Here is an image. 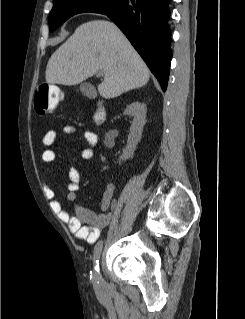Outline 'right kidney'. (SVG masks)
Returning a JSON list of instances; mask_svg holds the SVG:
<instances>
[{
    "mask_svg": "<svg viewBox=\"0 0 245 319\" xmlns=\"http://www.w3.org/2000/svg\"><path fill=\"white\" fill-rule=\"evenodd\" d=\"M146 104L139 101H135L127 106L124 111L125 115L133 116V122L130 126V133L128 136V141L126 148L123 150V155L119 159V164L121 161H126L131 158L134 154L137 144L140 142L142 137L143 127L146 123Z\"/></svg>",
    "mask_w": 245,
    "mask_h": 319,
    "instance_id": "obj_1",
    "label": "right kidney"
}]
</instances>
